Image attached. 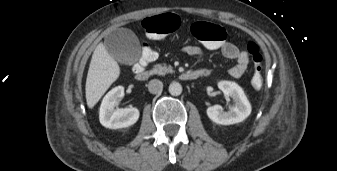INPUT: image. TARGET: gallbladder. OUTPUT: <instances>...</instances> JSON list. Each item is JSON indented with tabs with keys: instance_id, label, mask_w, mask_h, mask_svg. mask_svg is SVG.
Returning a JSON list of instances; mask_svg holds the SVG:
<instances>
[{
	"instance_id": "bac80fb5",
	"label": "gallbladder",
	"mask_w": 337,
	"mask_h": 171,
	"mask_svg": "<svg viewBox=\"0 0 337 171\" xmlns=\"http://www.w3.org/2000/svg\"><path fill=\"white\" fill-rule=\"evenodd\" d=\"M108 53L118 62L133 64L140 56L141 48L135 34L128 29H116L105 37Z\"/></svg>"
}]
</instances>
